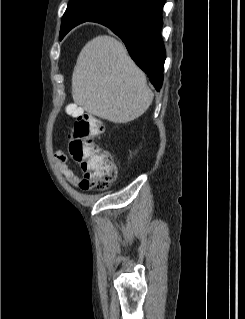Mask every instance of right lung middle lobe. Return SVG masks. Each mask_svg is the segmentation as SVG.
Wrapping results in <instances>:
<instances>
[{"label":"right lung middle lobe","instance_id":"right-lung-middle-lobe-1","mask_svg":"<svg viewBox=\"0 0 245 319\" xmlns=\"http://www.w3.org/2000/svg\"><path fill=\"white\" fill-rule=\"evenodd\" d=\"M128 0H84L81 2V7L88 11L94 18L114 10L115 8L121 6ZM93 18V19H94ZM66 26H61V33H64Z\"/></svg>","mask_w":245,"mask_h":319}]
</instances>
